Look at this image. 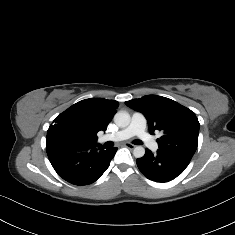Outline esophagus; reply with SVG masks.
<instances>
[{"label":"esophagus","mask_w":235,"mask_h":235,"mask_svg":"<svg viewBox=\"0 0 235 235\" xmlns=\"http://www.w3.org/2000/svg\"><path fill=\"white\" fill-rule=\"evenodd\" d=\"M124 146L127 147V148H129V149H131V150L135 148V145H134V144H131V143H129V142H125V143H124Z\"/></svg>","instance_id":"34e87169"}]
</instances>
